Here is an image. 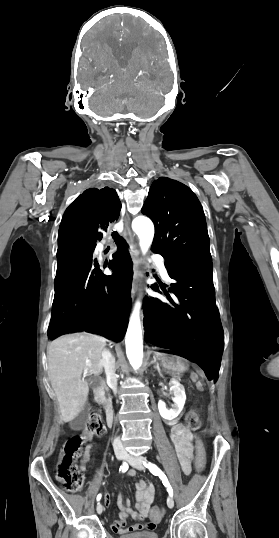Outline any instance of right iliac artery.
Wrapping results in <instances>:
<instances>
[{
	"label": "right iliac artery",
	"instance_id": "obj_1",
	"mask_svg": "<svg viewBox=\"0 0 279 538\" xmlns=\"http://www.w3.org/2000/svg\"><path fill=\"white\" fill-rule=\"evenodd\" d=\"M128 470V464L124 461L120 467V471L122 472H126ZM102 495L101 494H98L97 496V501H100Z\"/></svg>",
	"mask_w": 279,
	"mask_h": 538
}]
</instances>
